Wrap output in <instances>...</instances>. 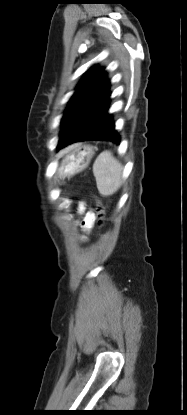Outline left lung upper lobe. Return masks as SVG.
<instances>
[{
  "instance_id": "5c2ea615",
  "label": "left lung upper lobe",
  "mask_w": 187,
  "mask_h": 415,
  "mask_svg": "<svg viewBox=\"0 0 187 415\" xmlns=\"http://www.w3.org/2000/svg\"><path fill=\"white\" fill-rule=\"evenodd\" d=\"M104 69L99 68L98 66H94L90 69H88L84 73V77L81 79L79 84L76 87V91L74 95L71 97L69 101V105L65 110V114L62 118V127L60 132V142L64 136V133L69 128V126L72 124L73 120L77 116L82 103L84 102L86 96L88 95L91 87L93 84L97 81V79L101 76ZM59 142V143H60Z\"/></svg>"
}]
</instances>
